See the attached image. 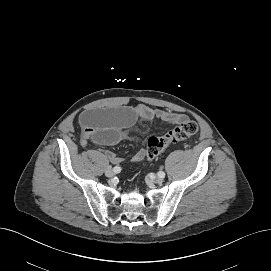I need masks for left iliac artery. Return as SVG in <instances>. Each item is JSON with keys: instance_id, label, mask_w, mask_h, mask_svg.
<instances>
[{"instance_id": "44dca946", "label": "left iliac artery", "mask_w": 271, "mask_h": 271, "mask_svg": "<svg viewBox=\"0 0 271 271\" xmlns=\"http://www.w3.org/2000/svg\"><path fill=\"white\" fill-rule=\"evenodd\" d=\"M158 176L164 178L165 177V173L163 171H159L158 172Z\"/></svg>"}]
</instances>
